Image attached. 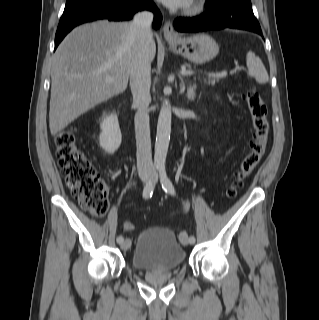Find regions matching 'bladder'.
I'll list each match as a JSON object with an SVG mask.
<instances>
[{"instance_id": "31cf9c89", "label": "bladder", "mask_w": 319, "mask_h": 320, "mask_svg": "<svg viewBox=\"0 0 319 320\" xmlns=\"http://www.w3.org/2000/svg\"><path fill=\"white\" fill-rule=\"evenodd\" d=\"M186 250L176 235L161 227L149 228L139 233L130 256L134 270H171L183 265Z\"/></svg>"}]
</instances>
